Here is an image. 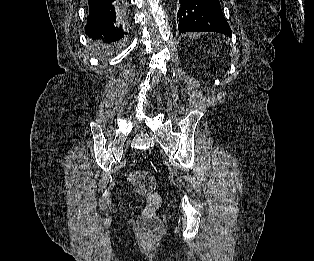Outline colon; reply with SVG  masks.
Masks as SVG:
<instances>
[{"label": "colon", "instance_id": "5ec220e1", "mask_svg": "<svg viewBox=\"0 0 314 261\" xmlns=\"http://www.w3.org/2000/svg\"><path fill=\"white\" fill-rule=\"evenodd\" d=\"M128 180L134 185L137 192L147 200V206L139 216V228L158 234L162 224L156 216V210L161 204L160 196L155 193L156 180L154 175L147 170H134L128 174Z\"/></svg>", "mask_w": 314, "mask_h": 261}]
</instances>
